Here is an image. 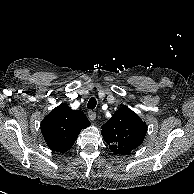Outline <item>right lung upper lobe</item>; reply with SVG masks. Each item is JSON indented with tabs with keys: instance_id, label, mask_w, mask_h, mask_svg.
I'll use <instances>...</instances> for the list:
<instances>
[{
	"instance_id": "right-lung-upper-lobe-1",
	"label": "right lung upper lobe",
	"mask_w": 194,
	"mask_h": 194,
	"mask_svg": "<svg viewBox=\"0 0 194 194\" xmlns=\"http://www.w3.org/2000/svg\"><path fill=\"white\" fill-rule=\"evenodd\" d=\"M89 125L82 111L60 104L42 120L41 131L51 150L64 153L74 145L80 131Z\"/></svg>"
}]
</instances>
